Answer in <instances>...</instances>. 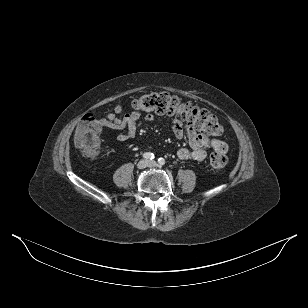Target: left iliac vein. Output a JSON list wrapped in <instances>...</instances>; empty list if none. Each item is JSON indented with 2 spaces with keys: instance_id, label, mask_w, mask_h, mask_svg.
<instances>
[{
  "instance_id": "4c4485c4",
  "label": "left iliac vein",
  "mask_w": 308,
  "mask_h": 308,
  "mask_svg": "<svg viewBox=\"0 0 308 308\" xmlns=\"http://www.w3.org/2000/svg\"><path fill=\"white\" fill-rule=\"evenodd\" d=\"M156 165H157V163L155 161H149V166L150 167H154Z\"/></svg>"
}]
</instances>
